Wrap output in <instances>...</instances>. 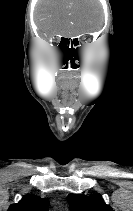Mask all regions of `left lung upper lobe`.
<instances>
[{"instance_id":"obj_1","label":"left lung upper lobe","mask_w":133,"mask_h":211,"mask_svg":"<svg viewBox=\"0 0 133 211\" xmlns=\"http://www.w3.org/2000/svg\"><path fill=\"white\" fill-rule=\"evenodd\" d=\"M68 202L72 211H113L112 207L105 204L100 194L84 196L79 194L68 195Z\"/></svg>"}]
</instances>
